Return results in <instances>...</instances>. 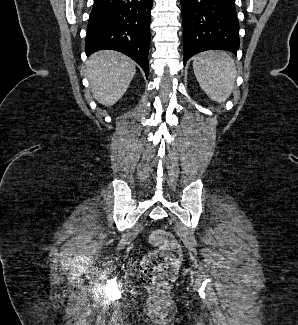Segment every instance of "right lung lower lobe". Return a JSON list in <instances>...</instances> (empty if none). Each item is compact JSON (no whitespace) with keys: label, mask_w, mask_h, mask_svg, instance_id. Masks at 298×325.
Listing matches in <instances>:
<instances>
[{"label":"right lung lower lobe","mask_w":298,"mask_h":325,"mask_svg":"<svg viewBox=\"0 0 298 325\" xmlns=\"http://www.w3.org/2000/svg\"><path fill=\"white\" fill-rule=\"evenodd\" d=\"M153 0H94L85 40L87 56L111 49L132 58L148 76Z\"/></svg>","instance_id":"obj_1"}]
</instances>
